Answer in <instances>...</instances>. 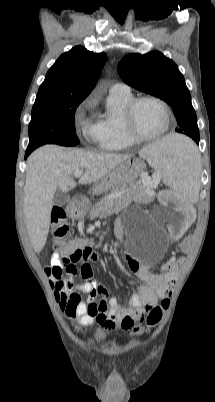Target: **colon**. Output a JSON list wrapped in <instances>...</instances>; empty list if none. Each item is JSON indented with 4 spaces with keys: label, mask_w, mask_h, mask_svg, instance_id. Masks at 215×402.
<instances>
[{
    "label": "colon",
    "mask_w": 215,
    "mask_h": 402,
    "mask_svg": "<svg viewBox=\"0 0 215 402\" xmlns=\"http://www.w3.org/2000/svg\"><path fill=\"white\" fill-rule=\"evenodd\" d=\"M53 225V235L55 238H62L68 232V224L65 214L62 209L56 208L52 211L51 215ZM193 236H187L186 239H181L177 251L180 254H185L188 251L189 243L194 242ZM86 243L85 235H76L75 238H69L68 241H62V243L56 242L53 245L54 251H58L60 248V258L56 260L54 270L56 273L70 272L77 270V263L81 260L83 254L80 250L84 249ZM183 262L181 260L171 262L167 265L166 271L174 273L181 268ZM85 269V267H84ZM169 301L163 300L161 307L153 308L147 316L146 322L149 326L157 325L162 319L163 309L167 308ZM140 327L134 329L135 332H139Z\"/></svg>",
    "instance_id": "obj_1"
}]
</instances>
